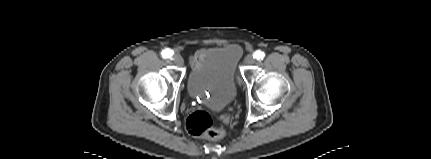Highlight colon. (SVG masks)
Instances as JSON below:
<instances>
[{
  "mask_svg": "<svg viewBox=\"0 0 431 159\" xmlns=\"http://www.w3.org/2000/svg\"><path fill=\"white\" fill-rule=\"evenodd\" d=\"M186 129L194 137L218 139L224 136L222 128L215 127L211 115L204 110L191 113L186 120Z\"/></svg>",
  "mask_w": 431,
  "mask_h": 159,
  "instance_id": "colon-1",
  "label": "colon"
}]
</instances>
